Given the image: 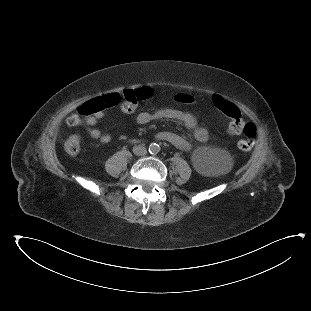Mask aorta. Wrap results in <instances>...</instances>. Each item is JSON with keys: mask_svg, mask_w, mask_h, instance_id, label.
<instances>
[{"mask_svg": "<svg viewBox=\"0 0 311 311\" xmlns=\"http://www.w3.org/2000/svg\"><path fill=\"white\" fill-rule=\"evenodd\" d=\"M160 146L156 143H152L150 146H149V152L151 154H157L159 151H160Z\"/></svg>", "mask_w": 311, "mask_h": 311, "instance_id": "1", "label": "aorta"}]
</instances>
